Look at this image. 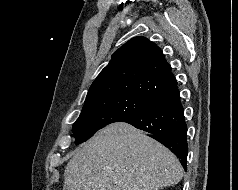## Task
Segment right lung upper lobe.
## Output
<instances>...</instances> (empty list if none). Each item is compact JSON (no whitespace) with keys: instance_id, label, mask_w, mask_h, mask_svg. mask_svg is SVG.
<instances>
[{"instance_id":"cb5924a9","label":"right lung upper lobe","mask_w":238,"mask_h":190,"mask_svg":"<svg viewBox=\"0 0 238 190\" xmlns=\"http://www.w3.org/2000/svg\"><path fill=\"white\" fill-rule=\"evenodd\" d=\"M176 86L161 49L139 36L112 55L92 83L85 102L112 95H132L154 103Z\"/></svg>"}]
</instances>
